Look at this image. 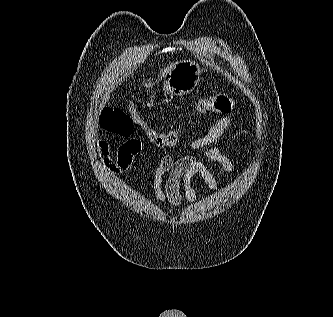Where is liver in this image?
I'll use <instances>...</instances> for the list:
<instances>
[{"instance_id":"obj_1","label":"liver","mask_w":333,"mask_h":317,"mask_svg":"<svg viewBox=\"0 0 333 317\" xmlns=\"http://www.w3.org/2000/svg\"><path fill=\"white\" fill-rule=\"evenodd\" d=\"M175 64H171L169 67L164 69L163 76H166V74L169 72V70L174 66Z\"/></svg>"}]
</instances>
